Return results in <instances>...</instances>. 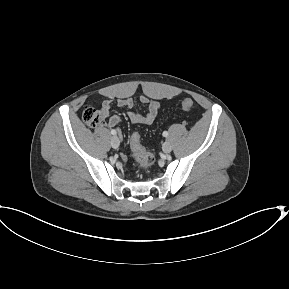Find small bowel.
<instances>
[{
    "mask_svg": "<svg viewBox=\"0 0 289 289\" xmlns=\"http://www.w3.org/2000/svg\"><path fill=\"white\" fill-rule=\"evenodd\" d=\"M141 102L147 105V112L145 114L139 113L133 109L134 102L132 99H119L116 101L118 107H125L129 110L128 116L130 120L135 124L149 125L154 122L157 114L160 110V103L158 101L149 100L147 97H142ZM113 102L111 100H105L102 103V110L105 112L106 116L112 107ZM121 121V118L117 114H112L108 119L109 127H116ZM125 159V156H123Z\"/></svg>",
    "mask_w": 289,
    "mask_h": 289,
    "instance_id": "1",
    "label": "small bowel"
}]
</instances>
